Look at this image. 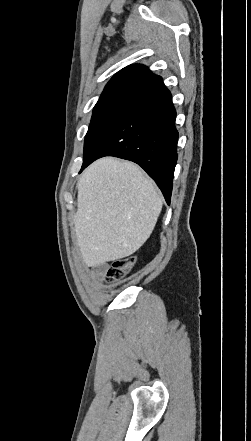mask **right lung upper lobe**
I'll return each instance as SVG.
<instances>
[{"mask_svg":"<svg viewBox=\"0 0 251 441\" xmlns=\"http://www.w3.org/2000/svg\"><path fill=\"white\" fill-rule=\"evenodd\" d=\"M160 83V76L151 73L144 65L133 64L111 78L98 102L114 99L137 101Z\"/></svg>","mask_w":251,"mask_h":441,"instance_id":"right-lung-upper-lobe-1","label":"right lung upper lobe"}]
</instances>
